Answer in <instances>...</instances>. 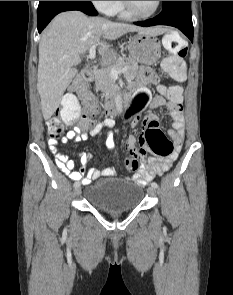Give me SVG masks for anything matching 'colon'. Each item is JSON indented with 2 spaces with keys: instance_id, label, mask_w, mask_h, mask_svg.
<instances>
[{
  "instance_id": "5ec220e1",
  "label": "colon",
  "mask_w": 233,
  "mask_h": 295,
  "mask_svg": "<svg viewBox=\"0 0 233 295\" xmlns=\"http://www.w3.org/2000/svg\"><path fill=\"white\" fill-rule=\"evenodd\" d=\"M163 45L171 54V57L163 64L164 70L174 80L178 82L185 81L183 58L187 54L186 41L177 32H169L163 37ZM159 90L171 97H176L182 93V88L179 85H160ZM90 95L86 79L79 77L73 81L69 92L64 96L62 106L57 110V116L50 118L47 122L48 133L52 138L62 135L64 131L62 120L72 121L79 116L80 106L77 98L84 99ZM96 113V105H90L86 108L82 120L92 124V119ZM173 149L172 140H169L161 129L147 127L139 138L138 146L131 150V156L125 160V165L130 171H136L139 168L140 160L145 158L147 153L164 157L169 155Z\"/></svg>"
}]
</instances>
